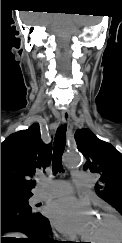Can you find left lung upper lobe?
I'll use <instances>...</instances> for the list:
<instances>
[{
    "instance_id": "5c2ea615",
    "label": "left lung upper lobe",
    "mask_w": 122,
    "mask_h": 243,
    "mask_svg": "<svg viewBox=\"0 0 122 243\" xmlns=\"http://www.w3.org/2000/svg\"><path fill=\"white\" fill-rule=\"evenodd\" d=\"M78 150L87 162L83 169L100 175L97 195L122 214V155L111 144L98 139L90 130L75 133Z\"/></svg>"
}]
</instances>
